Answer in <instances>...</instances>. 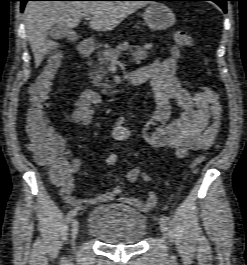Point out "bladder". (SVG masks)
Here are the masks:
<instances>
[{
	"label": "bladder",
	"instance_id": "obj_1",
	"mask_svg": "<svg viewBox=\"0 0 247 265\" xmlns=\"http://www.w3.org/2000/svg\"><path fill=\"white\" fill-rule=\"evenodd\" d=\"M86 230L105 244L134 245L145 237L147 220L132 207L107 203L89 213Z\"/></svg>",
	"mask_w": 247,
	"mask_h": 265
}]
</instances>
